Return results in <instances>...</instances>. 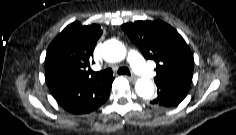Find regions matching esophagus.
Listing matches in <instances>:
<instances>
[{"instance_id": "34e87169", "label": "esophagus", "mask_w": 236, "mask_h": 135, "mask_svg": "<svg viewBox=\"0 0 236 135\" xmlns=\"http://www.w3.org/2000/svg\"><path fill=\"white\" fill-rule=\"evenodd\" d=\"M124 77H126L130 82H135L136 81V78L135 77H132V76H126L124 75Z\"/></svg>"}]
</instances>
